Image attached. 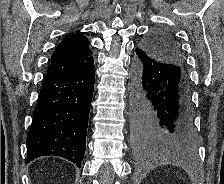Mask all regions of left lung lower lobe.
I'll use <instances>...</instances> for the list:
<instances>
[{
	"label": "left lung lower lobe",
	"mask_w": 224,
	"mask_h": 184,
	"mask_svg": "<svg viewBox=\"0 0 224 184\" xmlns=\"http://www.w3.org/2000/svg\"><path fill=\"white\" fill-rule=\"evenodd\" d=\"M133 141L144 154L193 153L190 91L183 68L136 49L132 73Z\"/></svg>",
	"instance_id": "1"
}]
</instances>
